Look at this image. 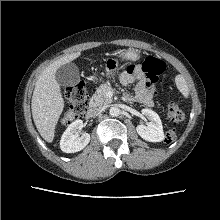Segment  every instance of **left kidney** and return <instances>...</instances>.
Listing matches in <instances>:
<instances>
[{
    "label": "left kidney",
    "instance_id": "5707ae66",
    "mask_svg": "<svg viewBox=\"0 0 220 220\" xmlns=\"http://www.w3.org/2000/svg\"><path fill=\"white\" fill-rule=\"evenodd\" d=\"M142 114L150 121L148 126L138 125L136 127L137 133L148 142H161L164 140L165 135L163 132L162 122L159 115L150 110L142 109Z\"/></svg>",
    "mask_w": 220,
    "mask_h": 220
}]
</instances>
